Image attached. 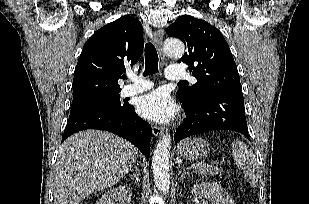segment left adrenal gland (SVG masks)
Here are the masks:
<instances>
[{
	"instance_id": "a2214340",
	"label": "left adrenal gland",
	"mask_w": 309,
	"mask_h": 204,
	"mask_svg": "<svg viewBox=\"0 0 309 204\" xmlns=\"http://www.w3.org/2000/svg\"><path fill=\"white\" fill-rule=\"evenodd\" d=\"M182 169H183V173L181 175V179L185 178L186 175H189L190 172L189 171H186V169L182 166Z\"/></svg>"
}]
</instances>
